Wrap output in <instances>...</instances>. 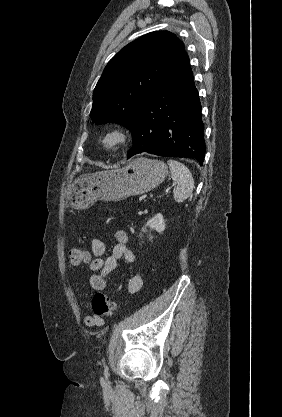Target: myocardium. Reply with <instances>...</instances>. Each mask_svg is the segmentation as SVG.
<instances>
[{
    "mask_svg": "<svg viewBox=\"0 0 282 417\" xmlns=\"http://www.w3.org/2000/svg\"><path fill=\"white\" fill-rule=\"evenodd\" d=\"M126 139L125 133L121 129H113L105 135V143L117 147L121 145Z\"/></svg>",
    "mask_w": 282,
    "mask_h": 417,
    "instance_id": "f54148a6",
    "label": "myocardium"
}]
</instances>
